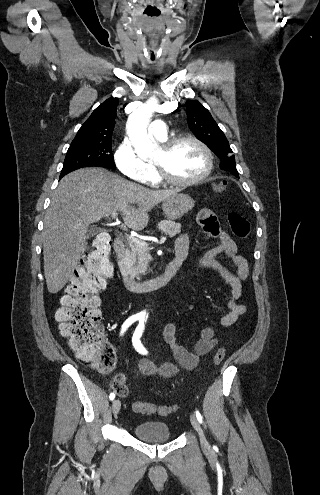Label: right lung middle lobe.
Masks as SVG:
<instances>
[{"label": "right lung middle lobe", "mask_w": 320, "mask_h": 495, "mask_svg": "<svg viewBox=\"0 0 320 495\" xmlns=\"http://www.w3.org/2000/svg\"><path fill=\"white\" fill-rule=\"evenodd\" d=\"M89 166L116 168L111 143L71 144L60 178L76 169Z\"/></svg>", "instance_id": "obj_1"}]
</instances>
